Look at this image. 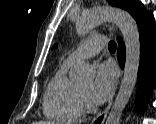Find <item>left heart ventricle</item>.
Masks as SVG:
<instances>
[{
	"label": "left heart ventricle",
	"instance_id": "1",
	"mask_svg": "<svg viewBox=\"0 0 156 124\" xmlns=\"http://www.w3.org/2000/svg\"><path fill=\"white\" fill-rule=\"evenodd\" d=\"M81 90H83L85 93H87L88 95H90V91H91V83H86L84 85H82L80 87Z\"/></svg>",
	"mask_w": 156,
	"mask_h": 124
}]
</instances>
